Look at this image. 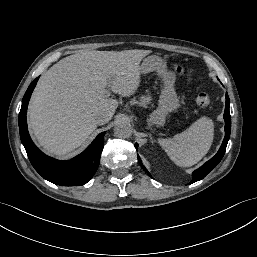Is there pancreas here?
<instances>
[{
  "instance_id": "1",
  "label": "pancreas",
  "mask_w": 257,
  "mask_h": 257,
  "mask_svg": "<svg viewBox=\"0 0 257 257\" xmlns=\"http://www.w3.org/2000/svg\"><path fill=\"white\" fill-rule=\"evenodd\" d=\"M150 103H151V97L149 95H144L140 97V104L143 107H147L146 105Z\"/></svg>"
}]
</instances>
